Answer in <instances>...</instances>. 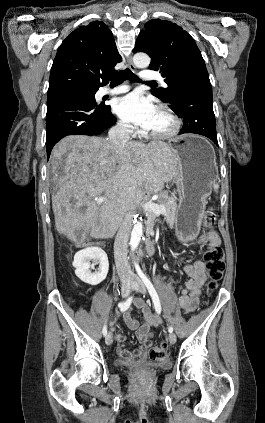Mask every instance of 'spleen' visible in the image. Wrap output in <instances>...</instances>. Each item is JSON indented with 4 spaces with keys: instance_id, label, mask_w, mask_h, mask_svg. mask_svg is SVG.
Wrapping results in <instances>:
<instances>
[{
    "instance_id": "obj_1",
    "label": "spleen",
    "mask_w": 265,
    "mask_h": 423,
    "mask_svg": "<svg viewBox=\"0 0 265 423\" xmlns=\"http://www.w3.org/2000/svg\"><path fill=\"white\" fill-rule=\"evenodd\" d=\"M213 187H214V191H215V192H217V191H218V189H219V185L216 183V184H214V186H213Z\"/></svg>"
}]
</instances>
